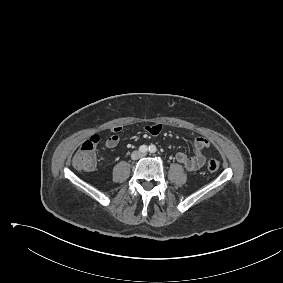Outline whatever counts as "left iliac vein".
<instances>
[{
  "instance_id": "obj_1",
  "label": "left iliac vein",
  "mask_w": 283,
  "mask_h": 283,
  "mask_svg": "<svg viewBox=\"0 0 283 283\" xmlns=\"http://www.w3.org/2000/svg\"><path fill=\"white\" fill-rule=\"evenodd\" d=\"M141 156L144 157V156H146V154H142Z\"/></svg>"
}]
</instances>
